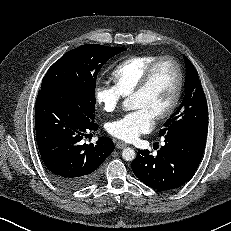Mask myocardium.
<instances>
[{
	"label": "myocardium",
	"mask_w": 231,
	"mask_h": 231,
	"mask_svg": "<svg viewBox=\"0 0 231 231\" xmlns=\"http://www.w3.org/2000/svg\"><path fill=\"white\" fill-rule=\"evenodd\" d=\"M163 61H169L174 66L176 70V74H177V82H176V87H175L174 94H173V97L170 103L163 111L155 115V118L157 120H162L172 115V113L175 111V109L177 108L179 104V101H180V98L183 92V87H184V73H183V69L180 63L174 57L169 56V55H163V56L157 57L145 69L138 85L136 86V88L131 94L132 96H134L146 90L155 68L157 67L159 63Z\"/></svg>",
	"instance_id": "obj_1"
}]
</instances>
